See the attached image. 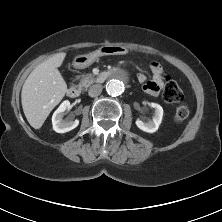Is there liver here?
<instances>
[{"mask_svg": "<svg viewBox=\"0 0 222 222\" xmlns=\"http://www.w3.org/2000/svg\"><path fill=\"white\" fill-rule=\"evenodd\" d=\"M65 57V52L53 55L39 64L23 84L22 108L34 129L42 127L50 112L65 96L67 84L58 70Z\"/></svg>", "mask_w": 222, "mask_h": 222, "instance_id": "6515ba94", "label": "liver"}]
</instances>
